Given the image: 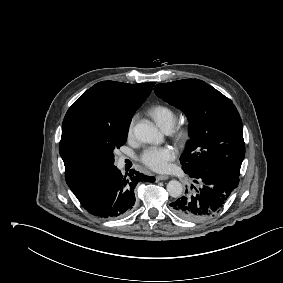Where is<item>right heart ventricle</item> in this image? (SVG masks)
<instances>
[{
	"label": "right heart ventricle",
	"mask_w": 283,
	"mask_h": 283,
	"mask_svg": "<svg viewBox=\"0 0 283 283\" xmlns=\"http://www.w3.org/2000/svg\"><path fill=\"white\" fill-rule=\"evenodd\" d=\"M148 113L161 129L173 127L177 120L174 110L166 105L152 106Z\"/></svg>",
	"instance_id": "right-heart-ventricle-1"
}]
</instances>
